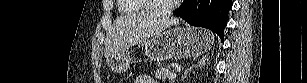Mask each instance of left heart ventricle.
I'll list each match as a JSON object with an SVG mask.
<instances>
[{
    "label": "left heart ventricle",
    "instance_id": "left-heart-ventricle-1",
    "mask_svg": "<svg viewBox=\"0 0 307 83\" xmlns=\"http://www.w3.org/2000/svg\"><path fill=\"white\" fill-rule=\"evenodd\" d=\"M170 2H172V0H154V1H152L155 8H163Z\"/></svg>",
    "mask_w": 307,
    "mask_h": 83
}]
</instances>
